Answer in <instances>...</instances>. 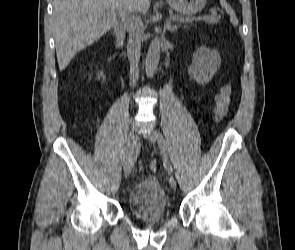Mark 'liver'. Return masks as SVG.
Here are the masks:
<instances>
[{
	"instance_id": "1",
	"label": "liver",
	"mask_w": 295,
	"mask_h": 250,
	"mask_svg": "<svg viewBox=\"0 0 295 250\" xmlns=\"http://www.w3.org/2000/svg\"><path fill=\"white\" fill-rule=\"evenodd\" d=\"M149 7V0H54L53 30L60 71L79 51L111 30L117 12L133 8L146 13Z\"/></svg>"
}]
</instances>
